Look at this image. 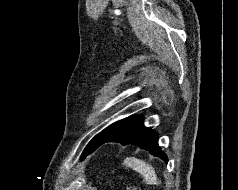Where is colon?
I'll use <instances>...</instances> for the list:
<instances>
[{
  "mask_svg": "<svg viewBox=\"0 0 238 190\" xmlns=\"http://www.w3.org/2000/svg\"><path fill=\"white\" fill-rule=\"evenodd\" d=\"M128 190H139V189L136 187H130Z\"/></svg>",
  "mask_w": 238,
  "mask_h": 190,
  "instance_id": "colon-1",
  "label": "colon"
}]
</instances>
